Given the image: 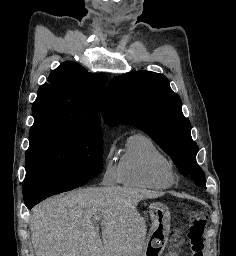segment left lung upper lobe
Instances as JSON below:
<instances>
[{
    "instance_id": "obj_1",
    "label": "left lung upper lobe",
    "mask_w": 236,
    "mask_h": 256,
    "mask_svg": "<svg viewBox=\"0 0 236 256\" xmlns=\"http://www.w3.org/2000/svg\"><path fill=\"white\" fill-rule=\"evenodd\" d=\"M181 104L164 75L138 71L109 82L102 114L109 125L122 122L143 130L170 155L182 175H190L196 185L206 188L203 171L196 162L198 146L192 140L191 125Z\"/></svg>"
}]
</instances>
